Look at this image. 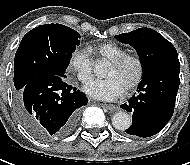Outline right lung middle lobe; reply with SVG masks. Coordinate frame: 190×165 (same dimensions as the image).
<instances>
[{
    "mask_svg": "<svg viewBox=\"0 0 190 165\" xmlns=\"http://www.w3.org/2000/svg\"><path fill=\"white\" fill-rule=\"evenodd\" d=\"M80 35L62 24L33 28L22 39L14 61V86L20 91L45 75L65 76Z\"/></svg>",
    "mask_w": 190,
    "mask_h": 165,
    "instance_id": "obj_1",
    "label": "right lung middle lobe"
}]
</instances>
